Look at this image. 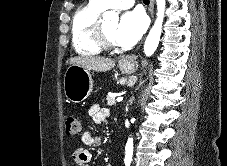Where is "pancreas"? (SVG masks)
Returning <instances> with one entry per match:
<instances>
[{"instance_id":"1","label":"pancreas","mask_w":227,"mask_h":166,"mask_svg":"<svg viewBox=\"0 0 227 166\" xmlns=\"http://www.w3.org/2000/svg\"><path fill=\"white\" fill-rule=\"evenodd\" d=\"M106 100H107V104H106L107 106L115 105V97L107 96Z\"/></svg>"}]
</instances>
